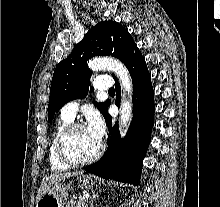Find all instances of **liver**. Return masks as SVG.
Segmentation results:
<instances>
[{
  "mask_svg": "<svg viewBox=\"0 0 220 207\" xmlns=\"http://www.w3.org/2000/svg\"><path fill=\"white\" fill-rule=\"evenodd\" d=\"M80 174L79 172H67V173H57V174H51L49 176H46L45 179L42 181L41 186L38 190L37 196H36V201L38 202L39 199L47 193L50 188L58 183L60 180L65 179V178H70L72 176H77Z\"/></svg>",
  "mask_w": 220,
  "mask_h": 207,
  "instance_id": "1",
  "label": "liver"
}]
</instances>
